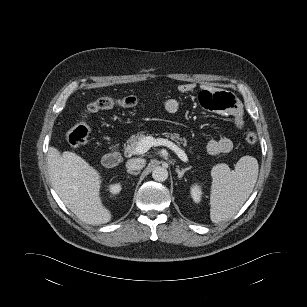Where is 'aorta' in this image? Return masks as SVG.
<instances>
[{"label":"aorta","mask_w":307,"mask_h":307,"mask_svg":"<svg viewBox=\"0 0 307 307\" xmlns=\"http://www.w3.org/2000/svg\"><path fill=\"white\" fill-rule=\"evenodd\" d=\"M152 177L158 182H163L168 178V171L164 167L157 166L152 171Z\"/></svg>","instance_id":"aorta-1"}]
</instances>
